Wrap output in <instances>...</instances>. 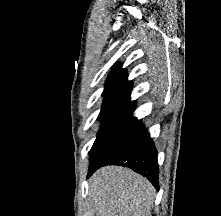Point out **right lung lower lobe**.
<instances>
[{"label":"right lung lower lobe","mask_w":221,"mask_h":216,"mask_svg":"<svg viewBox=\"0 0 221 216\" xmlns=\"http://www.w3.org/2000/svg\"><path fill=\"white\" fill-rule=\"evenodd\" d=\"M106 165L128 167L147 177L153 186L157 190L159 189L157 151L147 131L136 142L116 153L108 161L98 165H90L87 178H89L97 169Z\"/></svg>","instance_id":"right-lung-lower-lobe-1"}]
</instances>
